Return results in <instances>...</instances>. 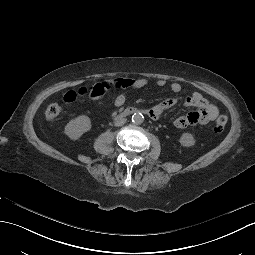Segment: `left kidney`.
<instances>
[{"mask_svg":"<svg viewBox=\"0 0 255 255\" xmlns=\"http://www.w3.org/2000/svg\"><path fill=\"white\" fill-rule=\"evenodd\" d=\"M180 143L183 146L189 147L195 144V140L191 134L184 133L180 138Z\"/></svg>","mask_w":255,"mask_h":255,"instance_id":"5707ae66","label":"left kidney"}]
</instances>
